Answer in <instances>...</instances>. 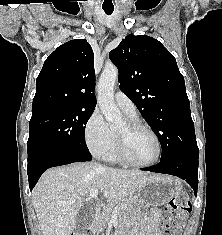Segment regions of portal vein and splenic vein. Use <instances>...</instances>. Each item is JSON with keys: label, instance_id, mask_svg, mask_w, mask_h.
<instances>
[{"label": "portal vein and splenic vein", "instance_id": "18ae733b", "mask_svg": "<svg viewBox=\"0 0 222 235\" xmlns=\"http://www.w3.org/2000/svg\"><path fill=\"white\" fill-rule=\"evenodd\" d=\"M98 197V190H92L89 194V198H97ZM116 210H113V217H116Z\"/></svg>", "mask_w": 222, "mask_h": 235}]
</instances>
